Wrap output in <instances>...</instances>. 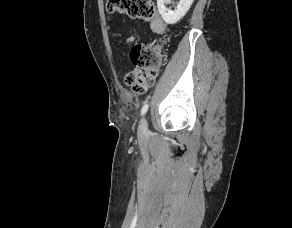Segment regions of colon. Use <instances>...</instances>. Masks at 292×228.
Listing matches in <instances>:
<instances>
[{
	"mask_svg": "<svg viewBox=\"0 0 292 228\" xmlns=\"http://www.w3.org/2000/svg\"><path fill=\"white\" fill-rule=\"evenodd\" d=\"M106 10L110 14H125L135 20L151 21L155 18V5L152 0H107ZM152 29L159 32L163 22L155 19ZM130 57L136 68L125 75L124 82L136 94H144L154 83L163 56L159 46L137 43L130 51Z\"/></svg>",
	"mask_w": 292,
	"mask_h": 228,
	"instance_id": "colon-1",
	"label": "colon"
}]
</instances>
